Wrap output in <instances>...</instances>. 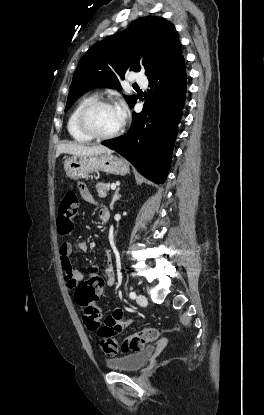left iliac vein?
Wrapping results in <instances>:
<instances>
[{"mask_svg":"<svg viewBox=\"0 0 264 415\" xmlns=\"http://www.w3.org/2000/svg\"><path fill=\"white\" fill-rule=\"evenodd\" d=\"M136 300H137V303L139 305H146L147 304V298L143 294H139L137 296V299Z\"/></svg>","mask_w":264,"mask_h":415,"instance_id":"left-iliac-vein-1","label":"left iliac vein"}]
</instances>
